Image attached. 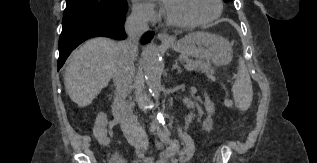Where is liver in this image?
Listing matches in <instances>:
<instances>
[{"label":"liver","mask_w":317,"mask_h":163,"mask_svg":"<svg viewBox=\"0 0 317 163\" xmlns=\"http://www.w3.org/2000/svg\"><path fill=\"white\" fill-rule=\"evenodd\" d=\"M119 44L109 38H92L70 57L64 85L71 100L79 107L90 105L114 76Z\"/></svg>","instance_id":"1"}]
</instances>
